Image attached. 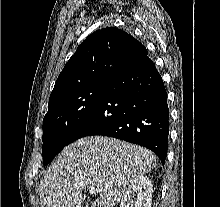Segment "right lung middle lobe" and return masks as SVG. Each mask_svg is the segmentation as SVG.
<instances>
[{"label":"right lung middle lobe","mask_w":220,"mask_h":207,"mask_svg":"<svg viewBox=\"0 0 220 207\" xmlns=\"http://www.w3.org/2000/svg\"><path fill=\"white\" fill-rule=\"evenodd\" d=\"M108 81L66 92L51 101L43 119V163L47 165L70 143V137L100 100Z\"/></svg>","instance_id":"dd1d6c3e"}]
</instances>
